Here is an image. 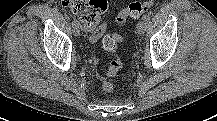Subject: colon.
<instances>
[{
    "mask_svg": "<svg viewBox=\"0 0 217 121\" xmlns=\"http://www.w3.org/2000/svg\"><path fill=\"white\" fill-rule=\"evenodd\" d=\"M155 0H145L143 2L131 3L126 9L122 10L117 16V22L124 24L128 17L138 18L144 12L148 11ZM62 5L71 13L78 15L82 23L94 33L98 34L103 31L101 19L108 8L106 0H62ZM124 39L122 35H108L103 39V48L115 54L119 42ZM122 67L121 59L115 55L105 70L107 77L114 76ZM114 84L110 80H104L102 89L106 93L114 91Z\"/></svg>",
    "mask_w": 217,
    "mask_h": 121,
    "instance_id": "colon-1",
    "label": "colon"
}]
</instances>
